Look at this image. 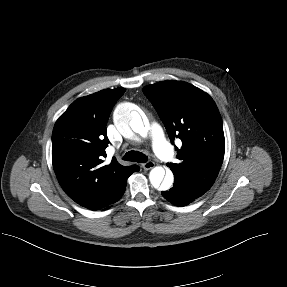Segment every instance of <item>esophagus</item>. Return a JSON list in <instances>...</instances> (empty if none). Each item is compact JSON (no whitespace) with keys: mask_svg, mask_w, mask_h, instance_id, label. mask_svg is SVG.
Wrapping results in <instances>:
<instances>
[{"mask_svg":"<svg viewBox=\"0 0 287 287\" xmlns=\"http://www.w3.org/2000/svg\"><path fill=\"white\" fill-rule=\"evenodd\" d=\"M154 167H155V163L153 161H147V162L142 164V168L144 170H150V169H152Z\"/></svg>","mask_w":287,"mask_h":287,"instance_id":"obj_1","label":"esophagus"}]
</instances>
